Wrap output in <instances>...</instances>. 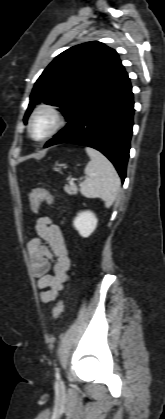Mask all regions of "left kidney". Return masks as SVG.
Here are the masks:
<instances>
[{
  "label": "left kidney",
  "instance_id": "left-kidney-1",
  "mask_svg": "<svg viewBox=\"0 0 165 419\" xmlns=\"http://www.w3.org/2000/svg\"><path fill=\"white\" fill-rule=\"evenodd\" d=\"M97 218L91 211L78 213L73 221V225L82 237H89L97 227Z\"/></svg>",
  "mask_w": 165,
  "mask_h": 419
}]
</instances>
